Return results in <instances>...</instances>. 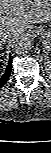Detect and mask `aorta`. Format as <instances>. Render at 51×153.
I'll list each match as a JSON object with an SVG mask.
<instances>
[{
  "label": "aorta",
  "instance_id": "1",
  "mask_svg": "<svg viewBox=\"0 0 51 153\" xmlns=\"http://www.w3.org/2000/svg\"><path fill=\"white\" fill-rule=\"evenodd\" d=\"M12 48L17 54H26L32 48L30 38L25 34H20L12 41Z\"/></svg>",
  "mask_w": 51,
  "mask_h": 153
}]
</instances>
